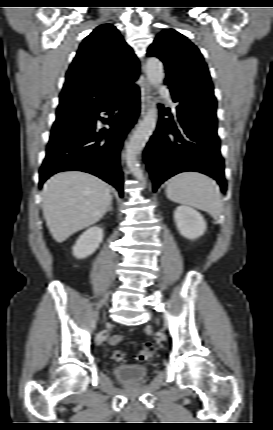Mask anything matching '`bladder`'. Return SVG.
<instances>
[{"label": "bladder", "mask_w": 273, "mask_h": 430, "mask_svg": "<svg viewBox=\"0 0 273 430\" xmlns=\"http://www.w3.org/2000/svg\"><path fill=\"white\" fill-rule=\"evenodd\" d=\"M117 379L124 383H137L148 375V368L138 364H121L113 368Z\"/></svg>", "instance_id": "31cf9c89"}]
</instances>
